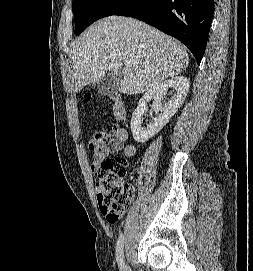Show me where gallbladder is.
I'll return each instance as SVG.
<instances>
[{"mask_svg": "<svg viewBox=\"0 0 253 271\" xmlns=\"http://www.w3.org/2000/svg\"><path fill=\"white\" fill-rule=\"evenodd\" d=\"M121 79H122L121 74L114 73L107 74L98 84L99 92L105 96H110L116 93L119 84L121 82Z\"/></svg>", "mask_w": 253, "mask_h": 271, "instance_id": "1", "label": "gallbladder"}]
</instances>
